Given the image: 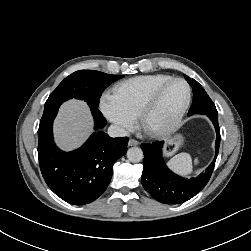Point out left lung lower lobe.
Segmentation results:
<instances>
[{"label": "left lung lower lobe", "instance_id": "1", "mask_svg": "<svg viewBox=\"0 0 251 251\" xmlns=\"http://www.w3.org/2000/svg\"><path fill=\"white\" fill-rule=\"evenodd\" d=\"M198 100L199 98L193 95V101L197 102ZM204 115H207L213 122L217 133L216 152L212 163L196 178H182L168 169L162 157L163 141L141 145L144 152L142 185L157 201L164 204L183 203L198 194L208 183L215 166L221 136L218 114Z\"/></svg>", "mask_w": 251, "mask_h": 251}]
</instances>
